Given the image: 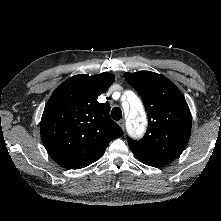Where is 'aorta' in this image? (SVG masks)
<instances>
[{"instance_id":"obj_1","label":"aorta","mask_w":221,"mask_h":221,"mask_svg":"<svg viewBox=\"0 0 221 221\" xmlns=\"http://www.w3.org/2000/svg\"><path fill=\"white\" fill-rule=\"evenodd\" d=\"M130 106L132 113H139L140 116L130 118V132L133 134H138V131H144V111L140 99L136 95H132L130 98Z\"/></svg>"}]
</instances>
